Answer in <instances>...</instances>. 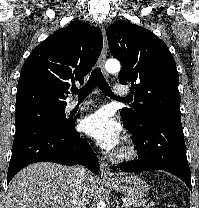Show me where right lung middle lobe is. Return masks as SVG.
<instances>
[{
    "label": "right lung middle lobe",
    "mask_w": 199,
    "mask_h": 208,
    "mask_svg": "<svg viewBox=\"0 0 199 208\" xmlns=\"http://www.w3.org/2000/svg\"><path fill=\"white\" fill-rule=\"evenodd\" d=\"M31 123L62 127L68 125L70 120L66 119L65 107L29 106L16 110V127Z\"/></svg>",
    "instance_id": "right-lung-middle-lobe-1"
}]
</instances>
